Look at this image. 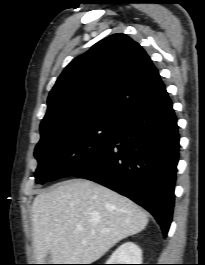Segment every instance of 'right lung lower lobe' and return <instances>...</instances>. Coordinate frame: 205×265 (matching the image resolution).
I'll use <instances>...</instances> for the list:
<instances>
[{
    "mask_svg": "<svg viewBox=\"0 0 205 265\" xmlns=\"http://www.w3.org/2000/svg\"><path fill=\"white\" fill-rule=\"evenodd\" d=\"M178 155L177 119L165 91L152 105L120 121L111 142L74 175L144 207L166 236L172 220Z\"/></svg>",
    "mask_w": 205,
    "mask_h": 265,
    "instance_id": "1",
    "label": "right lung lower lobe"
}]
</instances>
